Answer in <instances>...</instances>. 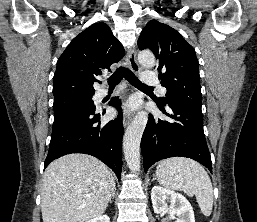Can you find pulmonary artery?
<instances>
[{"instance_id":"e3ab8cb5","label":"pulmonary artery","mask_w":257,"mask_h":222,"mask_svg":"<svg viewBox=\"0 0 257 222\" xmlns=\"http://www.w3.org/2000/svg\"><path fill=\"white\" fill-rule=\"evenodd\" d=\"M142 81L145 85L158 86L162 94H166V89L160 85L159 79L154 72L146 71L142 74ZM109 91L107 89H100L96 92L95 97L100 100L107 96Z\"/></svg>"}]
</instances>
